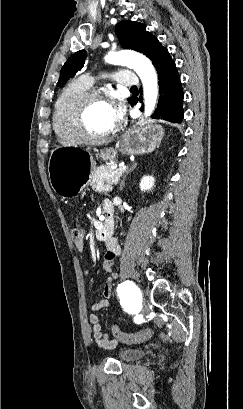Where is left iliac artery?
<instances>
[{"instance_id": "obj_1", "label": "left iliac artery", "mask_w": 243, "mask_h": 409, "mask_svg": "<svg viewBox=\"0 0 243 409\" xmlns=\"http://www.w3.org/2000/svg\"><path fill=\"white\" fill-rule=\"evenodd\" d=\"M118 296L120 299L125 300V296H128L131 301L137 305L138 300L141 299V292L136 285L131 282V281H125L122 284H120L117 288ZM136 298H139L136 300ZM122 300H120L121 302Z\"/></svg>"}]
</instances>
